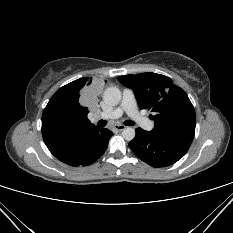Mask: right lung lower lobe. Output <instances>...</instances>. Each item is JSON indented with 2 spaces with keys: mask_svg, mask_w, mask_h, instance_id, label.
Wrapping results in <instances>:
<instances>
[{
  "mask_svg": "<svg viewBox=\"0 0 233 233\" xmlns=\"http://www.w3.org/2000/svg\"><path fill=\"white\" fill-rule=\"evenodd\" d=\"M112 132L103 129L100 133L91 136L79 148L59 151L54 145L46 143L50 152L61 162L70 166H86L95 162L105 152Z\"/></svg>",
  "mask_w": 233,
  "mask_h": 233,
  "instance_id": "98d812e1",
  "label": "right lung lower lobe"
}]
</instances>
